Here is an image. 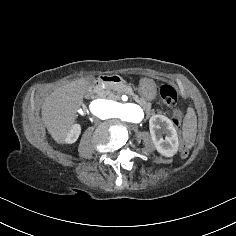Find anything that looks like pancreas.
Masks as SVG:
<instances>
[{"mask_svg":"<svg viewBox=\"0 0 236 236\" xmlns=\"http://www.w3.org/2000/svg\"><path fill=\"white\" fill-rule=\"evenodd\" d=\"M122 94L130 95L134 101H136L147 112V114H151L152 103L135 93L130 84L120 83L114 86H106L105 89L98 87V96L102 99L119 100L120 95ZM157 111L160 112L161 110Z\"/></svg>","mask_w":236,"mask_h":236,"instance_id":"1","label":"pancreas"}]
</instances>
